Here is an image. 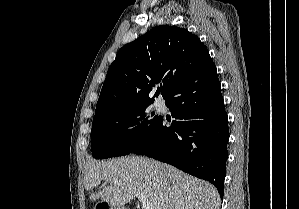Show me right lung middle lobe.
Segmentation results:
<instances>
[{
	"instance_id": "1",
	"label": "right lung middle lobe",
	"mask_w": 299,
	"mask_h": 209,
	"mask_svg": "<svg viewBox=\"0 0 299 209\" xmlns=\"http://www.w3.org/2000/svg\"><path fill=\"white\" fill-rule=\"evenodd\" d=\"M152 102L100 113L93 118L91 150L95 159L130 154L160 116L151 111Z\"/></svg>"
}]
</instances>
